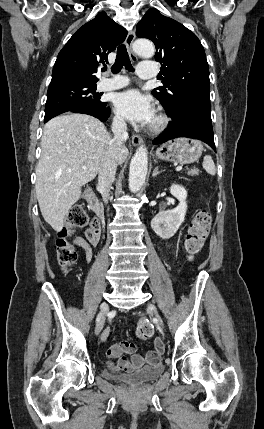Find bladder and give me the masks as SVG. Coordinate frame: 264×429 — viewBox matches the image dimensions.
Here are the masks:
<instances>
[{"label": "bladder", "instance_id": "bladder-1", "mask_svg": "<svg viewBox=\"0 0 264 429\" xmlns=\"http://www.w3.org/2000/svg\"><path fill=\"white\" fill-rule=\"evenodd\" d=\"M164 370V364L161 362V360H159L153 365H148L135 371L124 373L104 369L101 374L107 379H111L126 385L140 386L156 380L162 375Z\"/></svg>", "mask_w": 264, "mask_h": 429}]
</instances>
